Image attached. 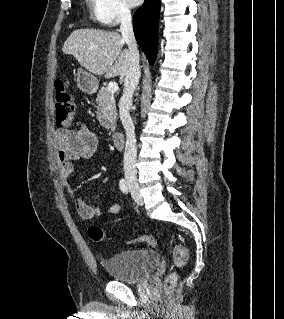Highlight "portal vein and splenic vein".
I'll use <instances>...</instances> for the list:
<instances>
[{
    "instance_id": "portal-vein-and-splenic-vein-1",
    "label": "portal vein and splenic vein",
    "mask_w": 284,
    "mask_h": 319,
    "mask_svg": "<svg viewBox=\"0 0 284 319\" xmlns=\"http://www.w3.org/2000/svg\"><path fill=\"white\" fill-rule=\"evenodd\" d=\"M118 89H119V87H118L117 83H115V82H110L107 86V90L110 93H115L118 91Z\"/></svg>"
}]
</instances>
